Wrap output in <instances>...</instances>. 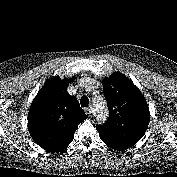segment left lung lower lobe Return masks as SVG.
<instances>
[{"mask_svg":"<svg viewBox=\"0 0 177 177\" xmlns=\"http://www.w3.org/2000/svg\"><path fill=\"white\" fill-rule=\"evenodd\" d=\"M109 147L115 150H120V151L130 148V147H124L122 144H116V145L109 144Z\"/></svg>","mask_w":177,"mask_h":177,"instance_id":"0a47b994","label":"left lung lower lobe"}]
</instances>
